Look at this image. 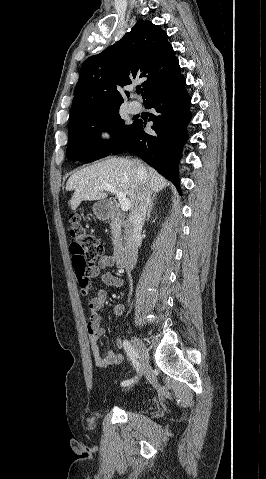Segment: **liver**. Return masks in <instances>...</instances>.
Listing matches in <instances>:
<instances>
[{"instance_id": "liver-1", "label": "liver", "mask_w": 266, "mask_h": 479, "mask_svg": "<svg viewBox=\"0 0 266 479\" xmlns=\"http://www.w3.org/2000/svg\"><path fill=\"white\" fill-rule=\"evenodd\" d=\"M138 162L126 158L111 157L91 166L85 167L70 176L66 183V191L74 190L71 198V209L76 210L82 201L105 200L107 192L95 190V187L109 184L128 196L133 207L140 185ZM151 191L155 194L162 190L167 181L154 169L144 167Z\"/></svg>"}]
</instances>
